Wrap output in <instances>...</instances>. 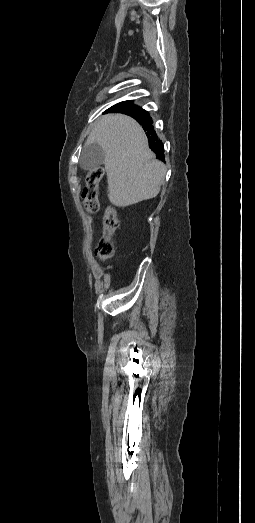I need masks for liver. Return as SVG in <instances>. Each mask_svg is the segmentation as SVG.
Returning a JSON list of instances; mask_svg holds the SVG:
<instances>
[{"instance_id": "6515ba94", "label": "liver", "mask_w": 255, "mask_h": 523, "mask_svg": "<svg viewBox=\"0 0 255 523\" xmlns=\"http://www.w3.org/2000/svg\"><path fill=\"white\" fill-rule=\"evenodd\" d=\"M97 142L105 152L108 198L125 208L158 196L167 172L148 146L141 126L123 114L102 116L91 130L85 146Z\"/></svg>"}]
</instances>
